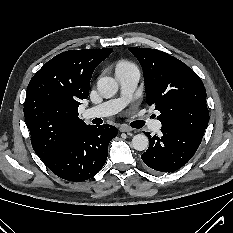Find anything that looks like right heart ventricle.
<instances>
[{"label": "right heart ventricle", "mask_w": 233, "mask_h": 233, "mask_svg": "<svg viewBox=\"0 0 233 233\" xmlns=\"http://www.w3.org/2000/svg\"><path fill=\"white\" fill-rule=\"evenodd\" d=\"M131 66L133 65L130 62L121 61L116 65V70L124 69V68L131 67Z\"/></svg>", "instance_id": "e07e8e85"}]
</instances>
